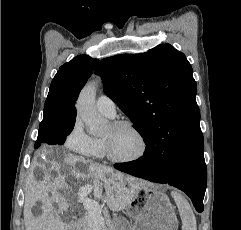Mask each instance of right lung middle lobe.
Listing matches in <instances>:
<instances>
[{
	"instance_id": "dd1d6c3e",
	"label": "right lung middle lobe",
	"mask_w": 241,
	"mask_h": 230,
	"mask_svg": "<svg viewBox=\"0 0 241 230\" xmlns=\"http://www.w3.org/2000/svg\"><path fill=\"white\" fill-rule=\"evenodd\" d=\"M75 125V119L56 121L53 119L43 118L39 126L38 138L35 143V148H38L41 143L49 145H62L67 135L71 133Z\"/></svg>"
}]
</instances>
